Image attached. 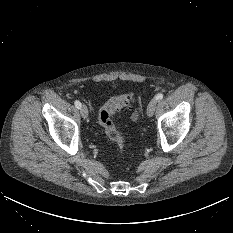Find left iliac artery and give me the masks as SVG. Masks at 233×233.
<instances>
[{"label":"left iliac artery","mask_w":233,"mask_h":233,"mask_svg":"<svg viewBox=\"0 0 233 233\" xmlns=\"http://www.w3.org/2000/svg\"><path fill=\"white\" fill-rule=\"evenodd\" d=\"M163 96H164V95H163L162 93L157 94V95L155 96L156 101L162 100V99H163Z\"/></svg>","instance_id":"left-iliac-artery-1"}]
</instances>
